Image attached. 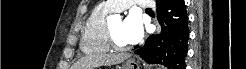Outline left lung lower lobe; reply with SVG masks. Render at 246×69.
<instances>
[{
  "instance_id": "1",
  "label": "left lung lower lobe",
  "mask_w": 246,
  "mask_h": 69,
  "mask_svg": "<svg viewBox=\"0 0 246 69\" xmlns=\"http://www.w3.org/2000/svg\"><path fill=\"white\" fill-rule=\"evenodd\" d=\"M156 1L162 30L160 34L150 36L135 53L149 64H161L168 69H185L189 29L184 0Z\"/></svg>"
}]
</instances>
